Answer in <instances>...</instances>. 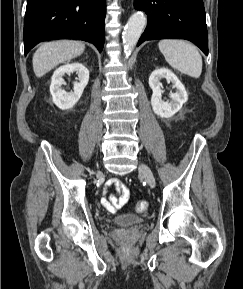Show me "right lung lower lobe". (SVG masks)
<instances>
[{
	"label": "right lung lower lobe",
	"mask_w": 243,
	"mask_h": 289,
	"mask_svg": "<svg viewBox=\"0 0 243 289\" xmlns=\"http://www.w3.org/2000/svg\"><path fill=\"white\" fill-rule=\"evenodd\" d=\"M105 0H27L24 20L25 55L39 42L79 39L104 45Z\"/></svg>",
	"instance_id": "right-lung-lower-lobe-1"
}]
</instances>
